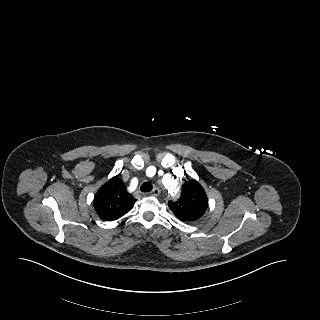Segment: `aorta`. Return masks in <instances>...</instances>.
Wrapping results in <instances>:
<instances>
[{
  "mask_svg": "<svg viewBox=\"0 0 320 320\" xmlns=\"http://www.w3.org/2000/svg\"><path fill=\"white\" fill-rule=\"evenodd\" d=\"M167 183L171 186L173 183L172 182H169V181H167ZM172 192H174V191H172ZM175 199H176V197H175Z\"/></svg>",
  "mask_w": 320,
  "mask_h": 320,
  "instance_id": "obj_1",
  "label": "aorta"
}]
</instances>
